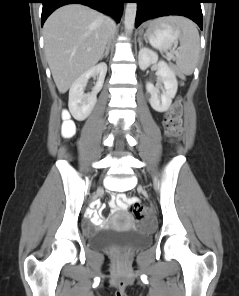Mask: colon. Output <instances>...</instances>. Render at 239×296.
<instances>
[{
  "label": "colon",
  "mask_w": 239,
  "mask_h": 296,
  "mask_svg": "<svg viewBox=\"0 0 239 296\" xmlns=\"http://www.w3.org/2000/svg\"><path fill=\"white\" fill-rule=\"evenodd\" d=\"M182 104L181 100L177 99L169 111L166 114L165 118V129L168 136L172 138H178L182 132ZM64 135L70 137L74 134V125L70 120H66L63 124ZM130 213L138 220H143L151 217V211L146 206L132 202L128 207Z\"/></svg>",
  "instance_id": "obj_1"
}]
</instances>
